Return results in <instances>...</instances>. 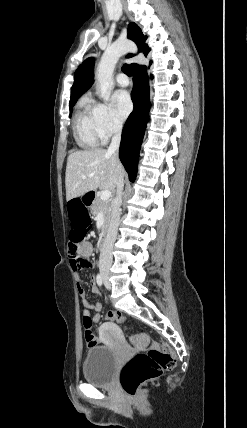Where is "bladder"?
<instances>
[{"label": "bladder", "instance_id": "31cf9c89", "mask_svg": "<svg viewBox=\"0 0 247 428\" xmlns=\"http://www.w3.org/2000/svg\"><path fill=\"white\" fill-rule=\"evenodd\" d=\"M118 354L107 346L90 348L83 362L85 380L95 386H108L115 377L118 369Z\"/></svg>", "mask_w": 247, "mask_h": 428}]
</instances>
